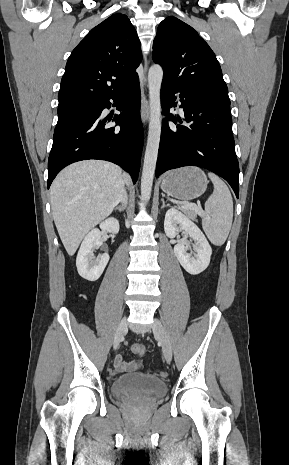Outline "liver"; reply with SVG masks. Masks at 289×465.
<instances>
[{"label":"liver","instance_id":"liver-1","mask_svg":"<svg viewBox=\"0 0 289 465\" xmlns=\"http://www.w3.org/2000/svg\"><path fill=\"white\" fill-rule=\"evenodd\" d=\"M129 176L115 164L86 160L63 169L50 188L53 219L60 239L72 256L84 236L108 217Z\"/></svg>","mask_w":289,"mask_h":465}]
</instances>
